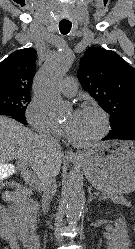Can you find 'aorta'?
<instances>
[{"label": "aorta", "mask_w": 135, "mask_h": 249, "mask_svg": "<svg viewBox=\"0 0 135 249\" xmlns=\"http://www.w3.org/2000/svg\"><path fill=\"white\" fill-rule=\"evenodd\" d=\"M74 55L68 49L59 51L40 70L35 81V94L45 110L59 116L63 113L64 106L59 90V83L69 70ZM66 203V217L68 222L76 223L81 216L84 206L83 177L72 174L66 182L64 189Z\"/></svg>", "instance_id": "762f6f07"}]
</instances>
